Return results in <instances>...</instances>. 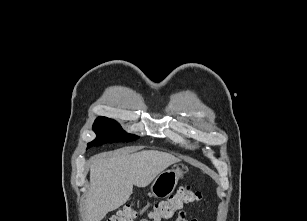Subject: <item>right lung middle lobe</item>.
Segmentation results:
<instances>
[{"mask_svg":"<svg viewBox=\"0 0 307 221\" xmlns=\"http://www.w3.org/2000/svg\"><path fill=\"white\" fill-rule=\"evenodd\" d=\"M93 130L97 134V138L88 143V148L105 143L129 142L138 138L123 131L116 121L107 117H98L93 125Z\"/></svg>","mask_w":307,"mask_h":221,"instance_id":"dd1d6c3e","label":"right lung middle lobe"}]
</instances>
